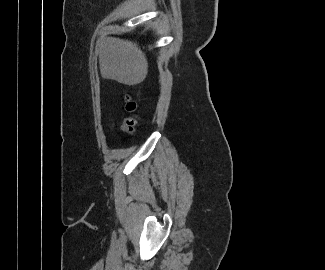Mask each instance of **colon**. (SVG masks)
I'll use <instances>...</instances> for the list:
<instances>
[{
	"label": "colon",
	"instance_id": "colon-1",
	"mask_svg": "<svg viewBox=\"0 0 325 270\" xmlns=\"http://www.w3.org/2000/svg\"><path fill=\"white\" fill-rule=\"evenodd\" d=\"M126 109L130 113H134L137 109L136 101L134 99H132V97L129 95L126 96ZM135 124H136V118L134 116L130 117L126 120L124 128L126 130L132 131Z\"/></svg>",
	"mask_w": 325,
	"mask_h": 270
}]
</instances>
